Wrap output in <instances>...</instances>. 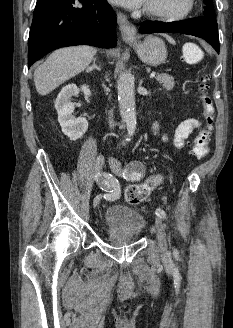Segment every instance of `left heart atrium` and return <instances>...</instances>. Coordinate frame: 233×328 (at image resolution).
<instances>
[{
	"instance_id": "left-heart-atrium-1",
	"label": "left heart atrium",
	"mask_w": 233,
	"mask_h": 328,
	"mask_svg": "<svg viewBox=\"0 0 233 328\" xmlns=\"http://www.w3.org/2000/svg\"><path fill=\"white\" fill-rule=\"evenodd\" d=\"M114 4H118L130 9H136L146 5L148 0H109Z\"/></svg>"
}]
</instances>
